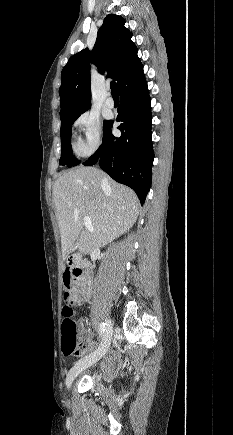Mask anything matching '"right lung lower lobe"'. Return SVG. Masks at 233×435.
I'll return each instance as SVG.
<instances>
[{
    "label": "right lung lower lobe",
    "instance_id": "98d812e1",
    "mask_svg": "<svg viewBox=\"0 0 233 435\" xmlns=\"http://www.w3.org/2000/svg\"><path fill=\"white\" fill-rule=\"evenodd\" d=\"M120 107L116 121L122 122L119 138L114 137L109 121L102 145L83 165L100 167L115 181L132 188L143 205L152 181L154 151L151 140V98L144 73L134 76L119 88Z\"/></svg>",
    "mask_w": 233,
    "mask_h": 435
}]
</instances>
